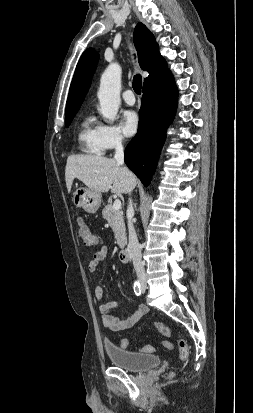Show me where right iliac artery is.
I'll return each mask as SVG.
<instances>
[{"mask_svg":"<svg viewBox=\"0 0 253 413\" xmlns=\"http://www.w3.org/2000/svg\"><path fill=\"white\" fill-rule=\"evenodd\" d=\"M134 292L137 296L141 294V287L139 281H135L134 283Z\"/></svg>","mask_w":253,"mask_h":413,"instance_id":"right-iliac-artery-1","label":"right iliac artery"}]
</instances>
